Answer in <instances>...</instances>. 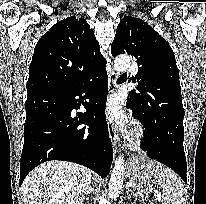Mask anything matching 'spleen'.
<instances>
[{"label": "spleen", "mask_w": 206, "mask_h": 204, "mask_svg": "<svg viewBox=\"0 0 206 204\" xmlns=\"http://www.w3.org/2000/svg\"><path fill=\"white\" fill-rule=\"evenodd\" d=\"M162 204H182L184 186L177 175L170 169H164Z\"/></svg>", "instance_id": "3e777b00"}]
</instances>
